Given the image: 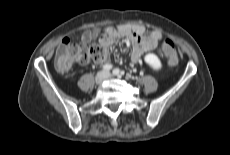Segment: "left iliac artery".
I'll use <instances>...</instances> for the list:
<instances>
[{
	"label": "left iliac artery",
	"mask_w": 230,
	"mask_h": 155,
	"mask_svg": "<svg viewBox=\"0 0 230 155\" xmlns=\"http://www.w3.org/2000/svg\"><path fill=\"white\" fill-rule=\"evenodd\" d=\"M113 74H114V75H122L123 72L120 71L118 68H115V69L113 70Z\"/></svg>",
	"instance_id": "left-iliac-artery-1"
}]
</instances>
